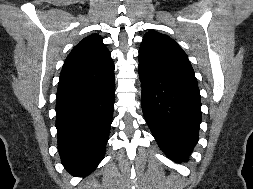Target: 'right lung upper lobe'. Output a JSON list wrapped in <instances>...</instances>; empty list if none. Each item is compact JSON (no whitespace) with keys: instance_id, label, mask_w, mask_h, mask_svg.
Here are the masks:
<instances>
[{"instance_id":"1","label":"right lung upper lobe","mask_w":253,"mask_h":189,"mask_svg":"<svg viewBox=\"0 0 253 189\" xmlns=\"http://www.w3.org/2000/svg\"><path fill=\"white\" fill-rule=\"evenodd\" d=\"M114 72L110 52L102 37L92 34L81 40L66 58L59 82L87 83L105 78Z\"/></svg>"}]
</instances>
